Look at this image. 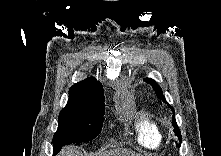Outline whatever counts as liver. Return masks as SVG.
<instances>
[{
    "instance_id": "1",
    "label": "liver",
    "mask_w": 221,
    "mask_h": 156,
    "mask_svg": "<svg viewBox=\"0 0 221 156\" xmlns=\"http://www.w3.org/2000/svg\"><path fill=\"white\" fill-rule=\"evenodd\" d=\"M58 156H83V154L74 147H67L62 150ZM99 156H140V154L128 149H114L103 152Z\"/></svg>"
}]
</instances>
